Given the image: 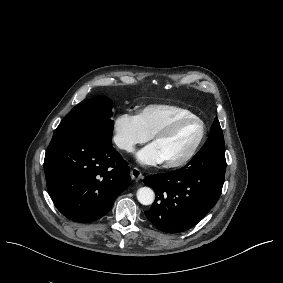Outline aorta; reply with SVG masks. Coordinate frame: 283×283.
Wrapping results in <instances>:
<instances>
[{"mask_svg": "<svg viewBox=\"0 0 283 283\" xmlns=\"http://www.w3.org/2000/svg\"><path fill=\"white\" fill-rule=\"evenodd\" d=\"M137 199L142 205H151L155 199L154 191L149 187H141L137 191Z\"/></svg>", "mask_w": 283, "mask_h": 283, "instance_id": "aorta-1", "label": "aorta"}]
</instances>
